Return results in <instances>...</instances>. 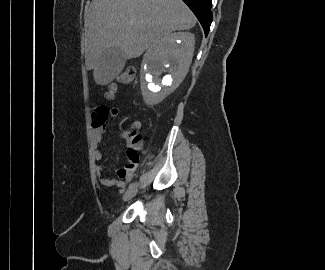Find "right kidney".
<instances>
[{"instance_id": "right-kidney-1", "label": "right kidney", "mask_w": 325, "mask_h": 270, "mask_svg": "<svg viewBox=\"0 0 325 270\" xmlns=\"http://www.w3.org/2000/svg\"><path fill=\"white\" fill-rule=\"evenodd\" d=\"M195 37L190 32L172 33L147 50L142 62L141 92L148 105H156L172 93L188 73ZM168 73L163 78V74Z\"/></svg>"}]
</instances>
